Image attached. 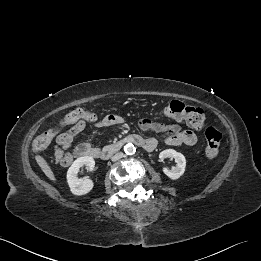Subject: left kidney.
I'll list each match as a JSON object with an SVG mask.
<instances>
[{
  "mask_svg": "<svg viewBox=\"0 0 261 261\" xmlns=\"http://www.w3.org/2000/svg\"><path fill=\"white\" fill-rule=\"evenodd\" d=\"M160 159H165V158H174L175 162L177 163L175 167H173L171 170L168 168H163V172L165 175H167L170 179L176 180L179 179L186 168V159L183 154L176 152L173 149H166L162 151L159 154Z\"/></svg>",
  "mask_w": 261,
  "mask_h": 261,
  "instance_id": "left-kidney-1",
  "label": "left kidney"
}]
</instances>
